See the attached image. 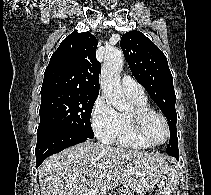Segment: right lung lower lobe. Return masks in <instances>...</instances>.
I'll list each match as a JSON object with an SVG mask.
<instances>
[{
	"instance_id": "obj_1",
	"label": "right lung lower lobe",
	"mask_w": 211,
	"mask_h": 195,
	"mask_svg": "<svg viewBox=\"0 0 211 195\" xmlns=\"http://www.w3.org/2000/svg\"><path fill=\"white\" fill-rule=\"evenodd\" d=\"M90 138L87 134L77 131H56L37 139L35 150L38 167L48 156L58 153L65 148L84 142Z\"/></svg>"
}]
</instances>
